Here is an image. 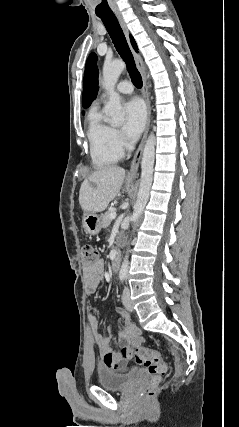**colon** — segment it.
Listing matches in <instances>:
<instances>
[{
  "label": "colon",
  "instance_id": "5ec220e1",
  "mask_svg": "<svg viewBox=\"0 0 239 427\" xmlns=\"http://www.w3.org/2000/svg\"><path fill=\"white\" fill-rule=\"evenodd\" d=\"M81 252L82 261L85 266L92 265L97 260L96 251L91 244H84L81 248ZM122 355L134 360L138 365L147 368L150 380L144 392V396L146 398L153 397L167 370L159 351L147 347L136 349L123 348Z\"/></svg>",
  "mask_w": 239,
  "mask_h": 427
}]
</instances>
